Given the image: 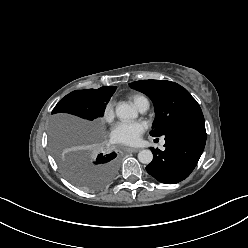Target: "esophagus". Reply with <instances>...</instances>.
<instances>
[{"label": "esophagus", "instance_id": "esophagus-1", "mask_svg": "<svg viewBox=\"0 0 248 248\" xmlns=\"http://www.w3.org/2000/svg\"><path fill=\"white\" fill-rule=\"evenodd\" d=\"M125 150L130 153H135V152H138L140 149L139 148H125Z\"/></svg>", "mask_w": 248, "mask_h": 248}]
</instances>
